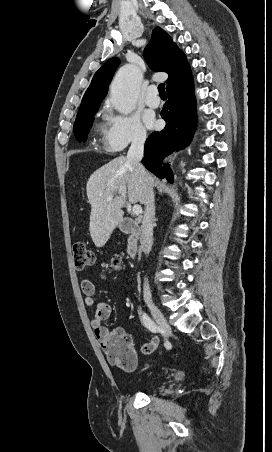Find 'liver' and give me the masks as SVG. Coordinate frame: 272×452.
I'll use <instances>...</instances> for the list:
<instances>
[{
    "instance_id": "obj_1",
    "label": "liver",
    "mask_w": 272,
    "mask_h": 452,
    "mask_svg": "<svg viewBox=\"0 0 272 452\" xmlns=\"http://www.w3.org/2000/svg\"><path fill=\"white\" fill-rule=\"evenodd\" d=\"M86 190L91 205L90 235L94 244L102 247L123 220L127 197L130 203H143V182L127 158L119 156L90 176ZM116 192L118 195L107 201Z\"/></svg>"
}]
</instances>
